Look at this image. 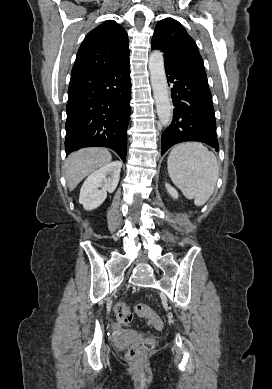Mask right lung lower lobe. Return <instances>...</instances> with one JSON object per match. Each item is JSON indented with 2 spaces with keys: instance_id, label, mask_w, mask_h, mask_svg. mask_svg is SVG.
<instances>
[{
  "instance_id": "right-lung-lower-lobe-1",
  "label": "right lung lower lobe",
  "mask_w": 272,
  "mask_h": 389,
  "mask_svg": "<svg viewBox=\"0 0 272 389\" xmlns=\"http://www.w3.org/2000/svg\"><path fill=\"white\" fill-rule=\"evenodd\" d=\"M129 58L104 70L71 77L66 106V154L82 147L113 149L125 162L131 107Z\"/></svg>"
}]
</instances>
